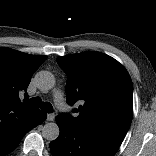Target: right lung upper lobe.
<instances>
[{
	"label": "right lung upper lobe",
	"instance_id": "cb5924a9",
	"mask_svg": "<svg viewBox=\"0 0 156 156\" xmlns=\"http://www.w3.org/2000/svg\"><path fill=\"white\" fill-rule=\"evenodd\" d=\"M46 58L0 47V127L28 120L37 112L20 103L19 94L25 92L27 96L31 77Z\"/></svg>",
	"mask_w": 156,
	"mask_h": 156
}]
</instances>
